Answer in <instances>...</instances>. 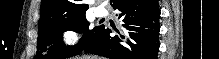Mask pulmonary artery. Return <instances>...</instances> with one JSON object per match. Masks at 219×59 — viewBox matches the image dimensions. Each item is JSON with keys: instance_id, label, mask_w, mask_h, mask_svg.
I'll return each mask as SVG.
<instances>
[{"instance_id": "obj_1", "label": "pulmonary artery", "mask_w": 219, "mask_h": 59, "mask_svg": "<svg viewBox=\"0 0 219 59\" xmlns=\"http://www.w3.org/2000/svg\"><path fill=\"white\" fill-rule=\"evenodd\" d=\"M95 13L97 16L102 17V16H105L107 14V10L104 7H96Z\"/></svg>"}]
</instances>
